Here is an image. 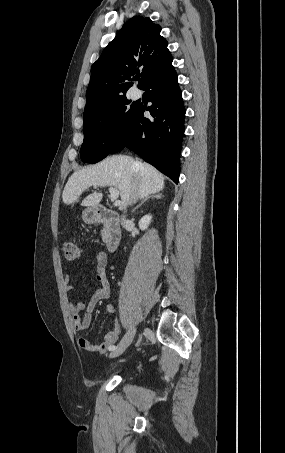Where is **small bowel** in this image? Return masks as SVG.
<instances>
[{
  "mask_svg": "<svg viewBox=\"0 0 285 453\" xmlns=\"http://www.w3.org/2000/svg\"><path fill=\"white\" fill-rule=\"evenodd\" d=\"M89 257L96 263V279L99 282V287L91 294L87 301L77 300L71 305V319L74 330L79 333V335L77 336L78 345L82 349L90 353L103 354L107 352L110 347L115 345L121 332V328L119 320L115 319L114 328L106 333L103 342H101L100 344H93L86 337L80 334L90 327L92 312L96 304L101 299L108 298L111 292V286L106 275V254L102 251H98L93 253ZM67 289L68 291H70L73 289V287L71 285H68ZM106 311L108 314H113V305L108 304L106 306Z\"/></svg>",
  "mask_w": 285,
  "mask_h": 453,
  "instance_id": "small-bowel-1",
  "label": "small bowel"
}]
</instances>
